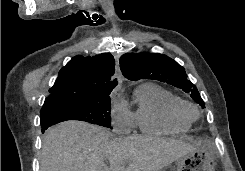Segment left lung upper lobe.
Wrapping results in <instances>:
<instances>
[{
    "mask_svg": "<svg viewBox=\"0 0 245 171\" xmlns=\"http://www.w3.org/2000/svg\"><path fill=\"white\" fill-rule=\"evenodd\" d=\"M120 68L122 74L132 81L153 79L178 87L189 93L202 108H205L196 86L187 79L184 68L166 55L127 53L120 58Z\"/></svg>",
    "mask_w": 245,
    "mask_h": 171,
    "instance_id": "left-lung-upper-lobe-1",
    "label": "left lung upper lobe"
}]
</instances>
